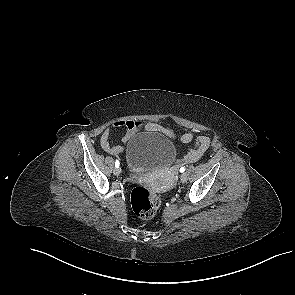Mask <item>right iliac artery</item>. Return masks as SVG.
<instances>
[{
	"instance_id": "82829eb1",
	"label": "right iliac artery",
	"mask_w": 295,
	"mask_h": 295,
	"mask_svg": "<svg viewBox=\"0 0 295 295\" xmlns=\"http://www.w3.org/2000/svg\"><path fill=\"white\" fill-rule=\"evenodd\" d=\"M119 161L118 160H116V162H115V167H119Z\"/></svg>"
}]
</instances>
